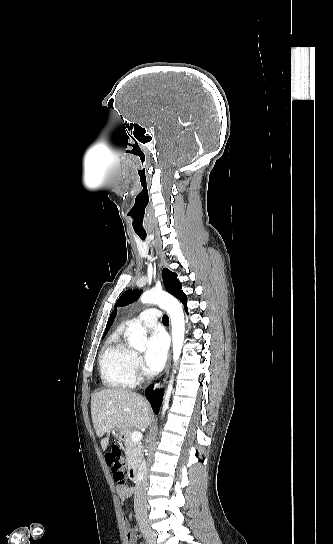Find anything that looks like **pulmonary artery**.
Here are the masks:
<instances>
[{"instance_id": "pulmonary-artery-1", "label": "pulmonary artery", "mask_w": 333, "mask_h": 544, "mask_svg": "<svg viewBox=\"0 0 333 544\" xmlns=\"http://www.w3.org/2000/svg\"><path fill=\"white\" fill-rule=\"evenodd\" d=\"M161 313L156 308H149L144 310L137 318L132 319L129 323L139 322L144 327L155 328L157 325V320L160 317Z\"/></svg>"}]
</instances>
